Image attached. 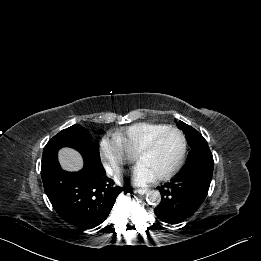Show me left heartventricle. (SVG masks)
Segmentation results:
<instances>
[{
	"label": "left heart ventricle",
	"mask_w": 261,
	"mask_h": 261,
	"mask_svg": "<svg viewBox=\"0 0 261 261\" xmlns=\"http://www.w3.org/2000/svg\"><path fill=\"white\" fill-rule=\"evenodd\" d=\"M182 148L181 138L177 133L163 135L155 147L139 159L156 177L168 172L176 164Z\"/></svg>",
	"instance_id": "b2bd125f"
}]
</instances>
